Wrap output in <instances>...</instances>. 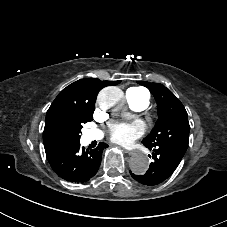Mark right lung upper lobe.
<instances>
[{
  "label": "right lung upper lobe",
  "instance_id": "1",
  "mask_svg": "<svg viewBox=\"0 0 227 227\" xmlns=\"http://www.w3.org/2000/svg\"><path fill=\"white\" fill-rule=\"evenodd\" d=\"M120 81H101L96 78L78 80L64 88L56 97L47 111L46 116L59 104L63 102H74L94 106L98 92L110 85H117ZM44 147L47 158L52 157L58 150L43 136Z\"/></svg>",
  "mask_w": 227,
  "mask_h": 227
}]
</instances>
